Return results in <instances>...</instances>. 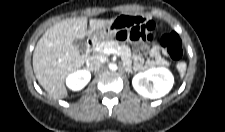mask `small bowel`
<instances>
[{
    "mask_svg": "<svg viewBox=\"0 0 225 132\" xmlns=\"http://www.w3.org/2000/svg\"><path fill=\"white\" fill-rule=\"evenodd\" d=\"M145 21L146 19L141 16H127L122 19V25L124 28H128L144 23ZM141 49H149L151 58L144 59L140 54L134 55L133 64L137 70L145 71L154 67L164 66L166 64L163 52L158 45H152L151 47L142 45Z\"/></svg>",
    "mask_w": 225,
    "mask_h": 132,
    "instance_id": "1",
    "label": "small bowel"
}]
</instances>
